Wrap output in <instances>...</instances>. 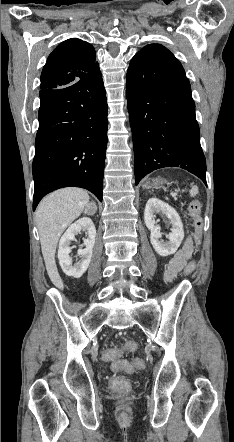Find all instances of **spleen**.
I'll return each mask as SVG.
<instances>
[{"mask_svg": "<svg viewBox=\"0 0 234 442\" xmlns=\"http://www.w3.org/2000/svg\"><path fill=\"white\" fill-rule=\"evenodd\" d=\"M198 194V188L197 187H192L190 190V195L192 197L196 196Z\"/></svg>", "mask_w": 234, "mask_h": 442, "instance_id": "obj_1", "label": "spleen"}]
</instances>
